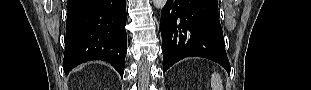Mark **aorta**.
Returning <instances> with one entry per match:
<instances>
[{"instance_id": "obj_1", "label": "aorta", "mask_w": 311, "mask_h": 90, "mask_svg": "<svg viewBox=\"0 0 311 90\" xmlns=\"http://www.w3.org/2000/svg\"><path fill=\"white\" fill-rule=\"evenodd\" d=\"M167 0H153V4L157 9H162L166 5Z\"/></svg>"}]
</instances>
